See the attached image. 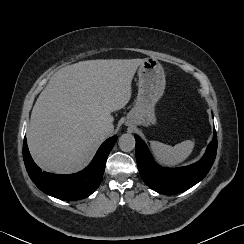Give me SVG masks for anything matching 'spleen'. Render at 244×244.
Segmentation results:
<instances>
[{"label":"spleen","mask_w":244,"mask_h":244,"mask_svg":"<svg viewBox=\"0 0 244 244\" xmlns=\"http://www.w3.org/2000/svg\"><path fill=\"white\" fill-rule=\"evenodd\" d=\"M155 158L163 165L174 167L186 160L192 153L194 141L185 140L175 146L158 141H150Z\"/></svg>","instance_id":"1"}]
</instances>
